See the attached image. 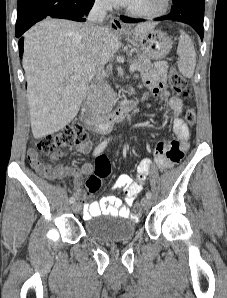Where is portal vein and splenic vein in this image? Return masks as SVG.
<instances>
[{
	"label": "portal vein and splenic vein",
	"mask_w": 227,
	"mask_h": 298,
	"mask_svg": "<svg viewBox=\"0 0 227 298\" xmlns=\"http://www.w3.org/2000/svg\"><path fill=\"white\" fill-rule=\"evenodd\" d=\"M137 69V65L135 63H132L130 65V72L133 73ZM79 76H76L75 79H78Z\"/></svg>",
	"instance_id": "portal-vein-and-splenic-vein-1"
}]
</instances>
